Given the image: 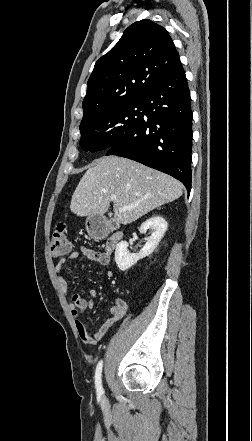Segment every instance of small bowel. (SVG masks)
Masks as SVG:
<instances>
[{
	"label": "small bowel",
	"instance_id": "c3829d8e",
	"mask_svg": "<svg viewBox=\"0 0 252 441\" xmlns=\"http://www.w3.org/2000/svg\"><path fill=\"white\" fill-rule=\"evenodd\" d=\"M80 255L92 262L99 263L100 265L105 266L109 263L108 256L84 246L79 248V252H71L66 258L60 259L55 266V272L58 275L57 280L59 287L64 295L67 294V283L64 277L61 275L62 270L67 262L76 260ZM87 291L89 292L91 298H86L79 293H74L72 295L71 313L75 318V325L80 337L87 343L94 344L97 343L107 333V331L125 315L127 304L123 299L116 298L114 300V306L110 309L108 317L103 321L99 329L90 335L80 317L86 310L94 308L97 293L91 288H88Z\"/></svg>",
	"mask_w": 252,
	"mask_h": 441
}]
</instances>
